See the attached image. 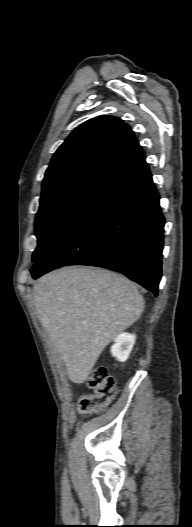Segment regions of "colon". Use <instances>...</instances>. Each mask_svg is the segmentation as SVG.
Listing matches in <instances>:
<instances>
[{
	"instance_id": "1",
	"label": "colon",
	"mask_w": 192,
	"mask_h": 527,
	"mask_svg": "<svg viewBox=\"0 0 192 527\" xmlns=\"http://www.w3.org/2000/svg\"><path fill=\"white\" fill-rule=\"evenodd\" d=\"M86 386L91 391L79 401V411L83 415H93L104 408L114 399L115 379L105 366H94L86 379Z\"/></svg>"
}]
</instances>
